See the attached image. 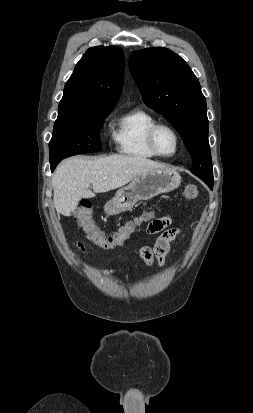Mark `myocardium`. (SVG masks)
Masks as SVG:
<instances>
[{"label": "myocardium", "instance_id": "f54148a6", "mask_svg": "<svg viewBox=\"0 0 253 413\" xmlns=\"http://www.w3.org/2000/svg\"><path fill=\"white\" fill-rule=\"evenodd\" d=\"M160 128H167V129H169V130L173 133V135L175 136V139H176V149H175V151H174L172 154H169V155L163 154V153L158 149V147H157V144H156V134H157V131H158ZM147 143H148V146H149V148L151 149V151H152L156 156L163 157V158H171V157L175 156V155L179 152V150H180V147H181V137H180L179 132L176 130V128H175L174 126H172L171 124L166 123V122H156V123H154V124L148 129V132H147Z\"/></svg>", "mask_w": 253, "mask_h": 413}]
</instances>
